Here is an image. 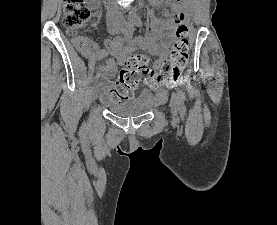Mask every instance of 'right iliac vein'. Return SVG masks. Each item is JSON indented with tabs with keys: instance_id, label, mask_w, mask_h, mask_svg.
<instances>
[{
	"instance_id": "1",
	"label": "right iliac vein",
	"mask_w": 277,
	"mask_h": 225,
	"mask_svg": "<svg viewBox=\"0 0 277 225\" xmlns=\"http://www.w3.org/2000/svg\"><path fill=\"white\" fill-rule=\"evenodd\" d=\"M122 31H123V30L120 29V28H115V29L113 30V32L116 33V34H119V33H121ZM97 97H98V91H97V89L95 88V89L93 90V92H92V99H93V101H95V100L97 99Z\"/></svg>"
}]
</instances>
